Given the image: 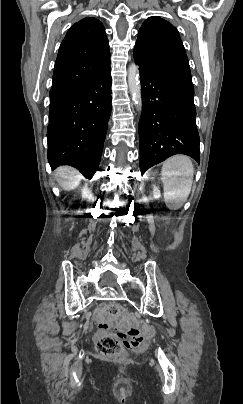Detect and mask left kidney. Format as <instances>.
Segmentation results:
<instances>
[{
  "label": "left kidney",
  "mask_w": 243,
  "mask_h": 404,
  "mask_svg": "<svg viewBox=\"0 0 243 404\" xmlns=\"http://www.w3.org/2000/svg\"><path fill=\"white\" fill-rule=\"evenodd\" d=\"M161 194H160V190L158 188V186H153V192H152V198L153 200H158V198H160Z\"/></svg>",
  "instance_id": "obj_1"
}]
</instances>
